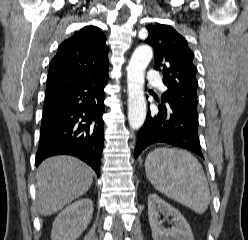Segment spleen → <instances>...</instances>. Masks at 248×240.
<instances>
[{"label": "spleen", "mask_w": 248, "mask_h": 240, "mask_svg": "<svg viewBox=\"0 0 248 240\" xmlns=\"http://www.w3.org/2000/svg\"><path fill=\"white\" fill-rule=\"evenodd\" d=\"M148 180L160 193L203 214L210 203L209 185L198 159L174 148H156L145 160Z\"/></svg>", "instance_id": "obj_1"}]
</instances>
